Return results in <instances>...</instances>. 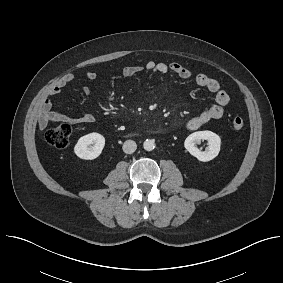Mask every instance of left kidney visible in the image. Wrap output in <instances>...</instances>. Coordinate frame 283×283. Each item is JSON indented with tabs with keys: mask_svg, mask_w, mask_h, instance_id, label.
<instances>
[{
	"mask_svg": "<svg viewBox=\"0 0 283 283\" xmlns=\"http://www.w3.org/2000/svg\"><path fill=\"white\" fill-rule=\"evenodd\" d=\"M201 140L208 141L207 151H200L196 147V144H198ZM184 146L187 151L199 161L208 162L218 156L220 152L221 139L212 131H197L186 138Z\"/></svg>",
	"mask_w": 283,
	"mask_h": 283,
	"instance_id": "5707ae66",
	"label": "left kidney"
}]
</instances>
